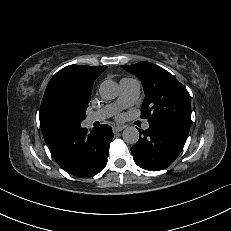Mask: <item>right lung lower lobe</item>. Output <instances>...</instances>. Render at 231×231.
Instances as JSON below:
<instances>
[{
    "label": "right lung lower lobe",
    "mask_w": 231,
    "mask_h": 231,
    "mask_svg": "<svg viewBox=\"0 0 231 231\" xmlns=\"http://www.w3.org/2000/svg\"><path fill=\"white\" fill-rule=\"evenodd\" d=\"M112 138L113 131L106 124L88 132L77 123L49 148L65 171L77 177H88L98 174L106 166Z\"/></svg>",
    "instance_id": "1"
}]
</instances>
